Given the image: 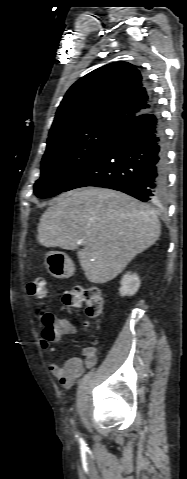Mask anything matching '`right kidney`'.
<instances>
[{"mask_svg":"<svg viewBox=\"0 0 187 479\" xmlns=\"http://www.w3.org/2000/svg\"><path fill=\"white\" fill-rule=\"evenodd\" d=\"M121 296H133L140 287V278L136 273L127 272L121 279Z\"/></svg>","mask_w":187,"mask_h":479,"instance_id":"ca27d5eb","label":"right kidney"}]
</instances>
